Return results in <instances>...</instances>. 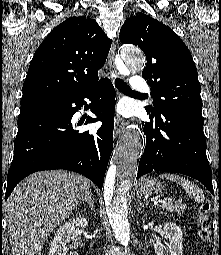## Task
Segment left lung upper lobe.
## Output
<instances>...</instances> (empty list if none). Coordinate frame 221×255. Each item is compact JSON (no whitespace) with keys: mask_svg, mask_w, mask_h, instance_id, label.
Here are the masks:
<instances>
[{"mask_svg":"<svg viewBox=\"0 0 221 255\" xmlns=\"http://www.w3.org/2000/svg\"><path fill=\"white\" fill-rule=\"evenodd\" d=\"M120 41L140 47L147 63L142 77L149 80L153 107L148 115L174 108L202 118L201 86L191 53L180 37L168 26L145 14L125 21Z\"/></svg>","mask_w":221,"mask_h":255,"instance_id":"obj_1","label":"left lung upper lobe"}]
</instances>
